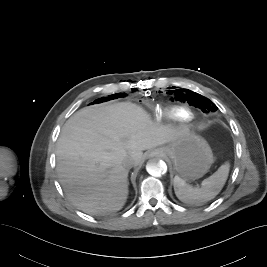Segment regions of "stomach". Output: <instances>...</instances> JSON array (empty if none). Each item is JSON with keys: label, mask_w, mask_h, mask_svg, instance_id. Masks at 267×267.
<instances>
[{"label": "stomach", "mask_w": 267, "mask_h": 267, "mask_svg": "<svg viewBox=\"0 0 267 267\" xmlns=\"http://www.w3.org/2000/svg\"><path fill=\"white\" fill-rule=\"evenodd\" d=\"M154 152L170 159L177 174L186 180L203 177L213 163V153L207 141L189 131Z\"/></svg>", "instance_id": "0dacf381"}]
</instances>
